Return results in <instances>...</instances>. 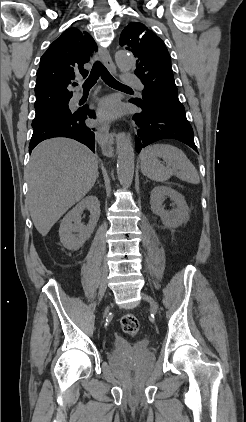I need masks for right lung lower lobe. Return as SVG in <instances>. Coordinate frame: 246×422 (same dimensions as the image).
<instances>
[{
    "label": "right lung lower lobe",
    "instance_id": "1",
    "mask_svg": "<svg viewBox=\"0 0 246 422\" xmlns=\"http://www.w3.org/2000/svg\"><path fill=\"white\" fill-rule=\"evenodd\" d=\"M94 111L81 108L71 116L54 118L33 125V135L29 144V152L41 141L53 137L75 139L95 152V133L85 125V119L94 118Z\"/></svg>",
    "mask_w": 246,
    "mask_h": 422
}]
</instances>
